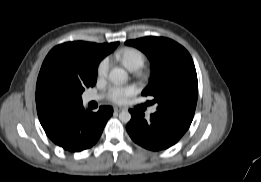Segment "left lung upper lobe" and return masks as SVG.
Listing matches in <instances>:
<instances>
[{
    "instance_id": "1",
    "label": "left lung upper lobe",
    "mask_w": 261,
    "mask_h": 182,
    "mask_svg": "<svg viewBox=\"0 0 261 182\" xmlns=\"http://www.w3.org/2000/svg\"><path fill=\"white\" fill-rule=\"evenodd\" d=\"M144 52L152 63L150 84L142 95H151L158 103L157 112L194 115L198 81L188 51L164 37H144L125 42Z\"/></svg>"
}]
</instances>
